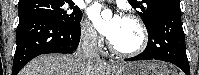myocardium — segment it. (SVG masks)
Returning a JSON list of instances; mask_svg holds the SVG:
<instances>
[{
	"label": "myocardium",
	"instance_id": "obj_1",
	"mask_svg": "<svg viewBox=\"0 0 199 75\" xmlns=\"http://www.w3.org/2000/svg\"><path fill=\"white\" fill-rule=\"evenodd\" d=\"M125 19L134 22L140 30L141 40H140L138 47H136L134 49H122V48L117 47L110 40H109L108 44H109V47L111 48V50L114 51L115 53H118V54H121L124 56H136V55L142 53L148 45V31H147V28H146L144 22L138 16L133 15V14H128L125 16Z\"/></svg>",
	"mask_w": 199,
	"mask_h": 75
}]
</instances>
